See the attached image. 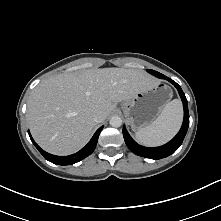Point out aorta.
I'll use <instances>...</instances> for the list:
<instances>
[{
	"label": "aorta",
	"mask_w": 221,
	"mask_h": 221,
	"mask_svg": "<svg viewBox=\"0 0 221 221\" xmlns=\"http://www.w3.org/2000/svg\"><path fill=\"white\" fill-rule=\"evenodd\" d=\"M112 127H120L122 125V119L119 116H113L109 121Z\"/></svg>",
	"instance_id": "762f6f07"
}]
</instances>
